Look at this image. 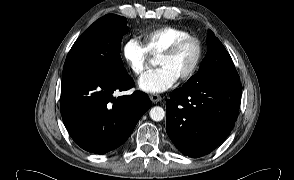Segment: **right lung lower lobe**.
<instances>
[{
    "label": "right lung lower lobe",
    "instance_id": "obj_1",
    "mask_svg": "<svg viewBox=\"0 0 294 180\" xmlns=\"http://www.w3.org/2000/svg\"><path fill=\"white\" fill-rule=\"evenodd\" d=\"M133 86L129 76L84 74L62 80L61 115L72 139L81 148L104 154L128 139L152 105L148 95L140 91L114 97L115 91Z\"/></svg>",
    "mask_w": 294,
    "mask_h": 180
}]
</instances>
